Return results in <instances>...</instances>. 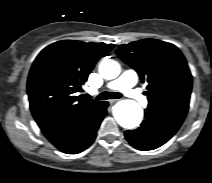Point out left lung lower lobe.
<instances>
[{
	"mask_svg": "<svg viewBox=\"0 0 212 183\" xmlns=\"http://www.w3.org/2000/svg\"><path fill=\"white\" fill-rule=\"evenodd\" d=\"M183 121V118L177 116L146 109L141 126L136 130L125 131V138L139 150H153L166 143Z\"/></svg>",
	"mask_w": 212,
	"mask_h": 183,
	"instance_id": "left-lung-lower-lobe-1",
	"label": "left lung lower lobe"
}]
</instances>
